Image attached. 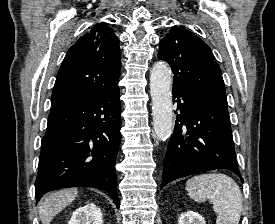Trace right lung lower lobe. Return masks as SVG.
I'll list each match as a JSON object with an SVG mask.
<instances>
[{
	"label": "right lung lower lobe",
	"mask_w": 275,
	"mask_h": 224,
	"mask_svg": "<svg viewBox=\"0 0 275 224\" xmlns=\"http://www.w3.org/2000/svg\"><path fill=\"white\" fill-rule=\"evenodd\" d=\"M119 87L51 108L41 143L36 203L44 193L66 187L107 191L117 208L115 161L120 145Z\"/></svg>",
	"instance_id": "obj_1"
}]
</instances>
